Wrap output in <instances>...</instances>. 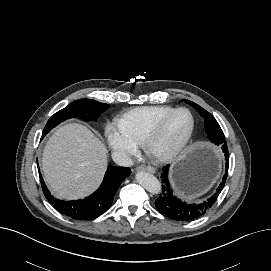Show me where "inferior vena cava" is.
<instances>
[{
	"label": "inferior vena cava",
	"mask_w": 271,
	"mask_h": 271,
	"mask_svg": "<svg viewBox=\"0 0 271 271\" xmlns=\"http://www.w3.org/2000/svg\"><path fill=\"white\" fill-rule=\"evenodd\" d=\"M112 159L119 166L131 167L133 165L132 159L124 151H115V152H113L112 153Z\"/></svg>",
	"instance_id": "inferior-vena-cava-1"
}]
</instances>
